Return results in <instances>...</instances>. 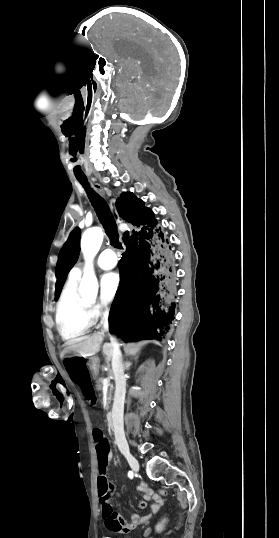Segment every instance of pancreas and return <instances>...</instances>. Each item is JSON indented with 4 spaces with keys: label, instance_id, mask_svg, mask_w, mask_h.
<instances>
[{
    "label": "pancreas",
    "instance_id": "obj_1",
    "mask_svg": "<svg viewBox=\"0 0 279 538\" xmlns=\"http://www.w3.org/2000/svg\"><path fill=\"white\" fill-rule=\"evenodd\" d=\"M90 360H94V358H90ZM96 360L97 362H99L98 358H96ZM102 382H103V378H98V380H96V390H98V392H101L102 390ZM112 392H113V384H110V388L107 392L108 404H111ZM107 408H109V406H107Z\"/></svg>",
    "mask_w": 279,
    "mask_h": 538
}]
</instances>
